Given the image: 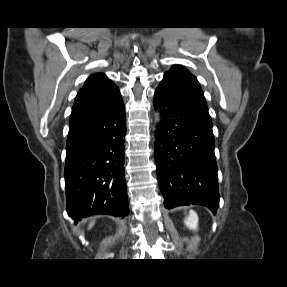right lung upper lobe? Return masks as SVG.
<instances>
[{
    "label": "right lung upper lobe",
    "instance_id": "obj_1",
    "mask_svg": "<svg viewBox=\"0 0 287 287\" xmlns=\"http://www.w3.org/2000/svg\"><path fill=\"white\" fill-rule=\"evenodd\" d=\"M120 100L118 87L105 74L95 73L78 92L70 119L100 113L112 108Z\"/></svg>",
    "mask_w": 287,
    "mask_h": 287
}]
</instances>
